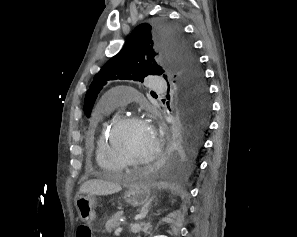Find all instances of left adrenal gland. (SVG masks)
Wrapping results in <instances>:
<instances>
[{
	"label": "left adrenal gland",
	"mask_w": 297,
	"mask_h": 237,
	"mask_svg": "<svg viewBox=\"0 0 297 237\" xmlns=\"http://www.w3.org/2000/svg\"><path fill=\"white\" fill-rule=\"evenodd\" d=\"M148 212H149V205L142 207L140 211V219H144L147 216Z\"/></svg>",
	"instance_id": "a2214340"
}]
</instances>
